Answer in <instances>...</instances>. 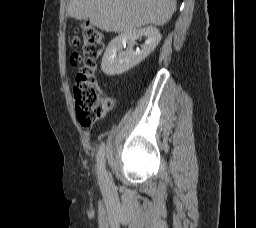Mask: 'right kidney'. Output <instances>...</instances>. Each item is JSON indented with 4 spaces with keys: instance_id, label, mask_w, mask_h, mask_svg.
Segmentation results:
<instances>
[{
    "instance_id": "1",
    "label": "right kidney",
    "mask_w": 256,
    "mask_h": 228,
    "mask_svg": "<svg viewBox=\"0 0 256 228\" xmlns=\"http://www.w3.org/2000/svg\"><path fill=\"white\" fill-rule=\"evenodd\" d=\"M145 37L141 49L134 51L136 40ZM161 35L156 27L148 26L123 32L108 45L101 62L102 71L108 76L123 74L143 61L159 44ZM127 45L126 51H122Z\"/></svg>"
}]
</instances>
